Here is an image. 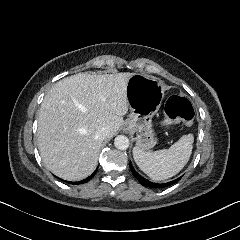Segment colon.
I'll list each match as a JSON object with an SVG mask.
<instances>
[{"label": "colon", "mask_w": 240, "mask_h": 240, "mask_svg": "<svg viewBox=\"0 0 240 240\" xmlns=\"http://www.w3.org/2000/svg\"><path fill=\"white\" fill-rule=\"evenodd\" d=\"M165 116H162L163 126H176L177 120L191 121L194 110L190 100L185 96L175 95L168 99L164 106Z\"/></svg>", "instance_id": "obj_1"}]
</instances>
